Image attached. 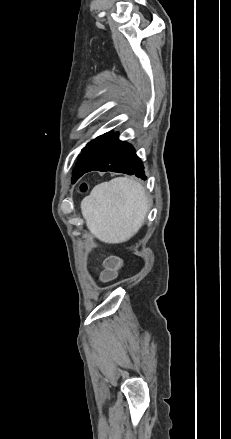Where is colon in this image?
Segmentation results:
<instances>
[{"instance_id":"obj_1","label":"colon","mask_w":231,"mask_h":439,"mask_svg":"<svg viewBox=\"0 0 231 439\" xmlns=\"http://www.w3.org/2000/svg\"><path fill=\"white\" fill-rule=\"evenodd\" d=\"M86 186H82V190H85ZM121 266V259L116 256H110L104 260V270L101 271L100 276V282L102 285H109L110 282H113L115 277V274L117 270Z\"/></svg>"}]
</instances>
